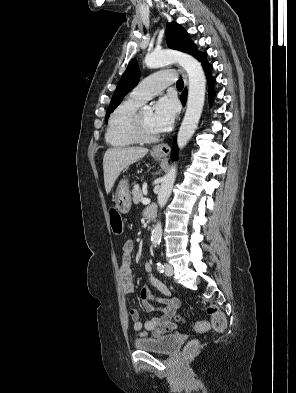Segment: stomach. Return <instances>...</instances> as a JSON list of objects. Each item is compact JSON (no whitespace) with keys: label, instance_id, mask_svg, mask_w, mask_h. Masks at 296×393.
<instances>
[{"label":"stomach","instance_id":"stomach-1","mask_svg":"<svg viewBox=\"0 0 296 393\" xmlns=\"http://www.w3.org/2000/svg\"><path fill=\"white\" fill-rule=\"evenodd\" d=\"M156 157H163V155H154ZM114 201L116 203L117 210L126 214L129 212L131 208V197L129 191L128 181L126 179H122L116 189Z\"/></svg>","mask_w":296,"mask_h":393}]
</instances>
